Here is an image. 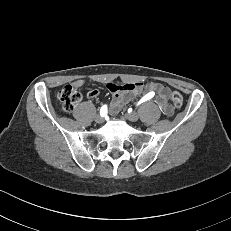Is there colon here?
I'll list each match as a JSON object with an SVG mask.
<instances>
[{"instance_id": "obj_1", "label": "colon", "mask_w": 231, "mask_h": 231, "mask_svg": "<svg viewBox=\"0 0 231 231\" xmlns=\"http://www.w3.org/2000/svg\"><path fill=\"white\" fill-rule=\"evenodd\" d=\"M57 97L61 109L65 112H69L82 100L83 94L78 87L74 85H66L59 90ZM171 100L177 108H180L184 101L183 96L176 91L171 94Z\"/></svg>"}]
</instances>
